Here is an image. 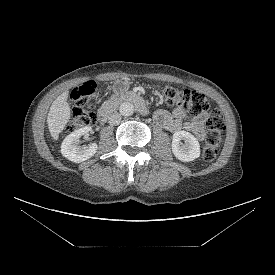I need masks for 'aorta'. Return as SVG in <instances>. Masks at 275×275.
Returning <instances> with one entry per match:
<instances>
[{
    "mask_svg": "<svg viewBox=\"0 0 275 275\" xmlns=\"http://www.w3.org/2000/svg\"><path fill=\"white\" fill-rule=\"evenodd\" d=\"M119 112L122 116H131L134 113V106L130 102H123L119 107Z\"/></svg>",
    "mask_w": 275,
    "mask_h": 275,
    "instance_id": "aorta-1",
    "label": "aorta"
}]
</instances>
